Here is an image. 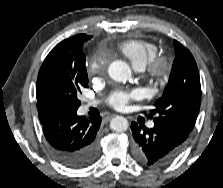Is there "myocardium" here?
Segmentation results:
<instances>
[{
    "label": "myocardium",
    "instance_id": "1",
    "mask_svg": "<svg viewBox=\"0 0 223 188\" xmlns=\"http://www.w3.org/2000/svg\"><path fill=\"white\" fill-rule=\"evenodd\" d=\"M147 76L157 82H166L172 71V62L166 56L154 57L145 68Z\"/></svg>",
    "mask_w": 223,
    "mask_h": 188
}]
</instances>
